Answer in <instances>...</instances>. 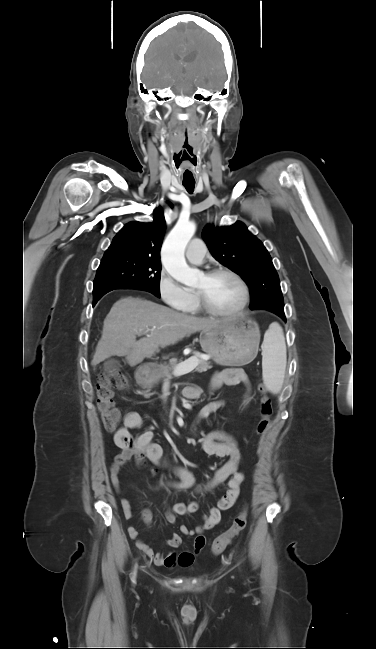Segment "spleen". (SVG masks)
Returning <instances> with one entry per match:
<instances>
[{
	"mask_svg": "<svg viewBox=\"0 0 376 649\" xmlns=\"http://www.w3.org/2000/svg\"><path fill=\"white\" fill-rule=\"evenodd\" d=\"M262 375L266 388L280 392L286 369V345L281 327L273 323L265 333L262 343Z\"/></svg>",
	"mask_w": 376,
	"mask_h": 649,
	"instance_id": "spleen-1",
	"label": "spleen"
}]
</instances>
